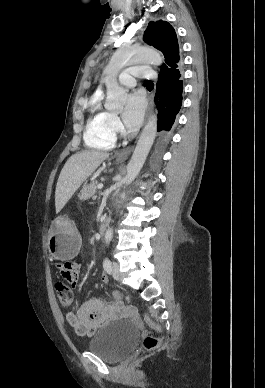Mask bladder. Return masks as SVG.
Segmentation results:
<instances>
[{"instance_id": "obj_1", "label": "bladder", "mask_w": 265, "mask_h": 388, "mask_svg": "<svg viewBox=\"0 0 265 388\" xmlns=\"http://www.w3.org/2000/svg\"><path fill=\"white\" fill-rule=\"evenodd\" d=\"M136 335L137 328L130 321L111 322L94 334L88 350L116 360L134 346Z\"/></svg>"}]
</instances>
